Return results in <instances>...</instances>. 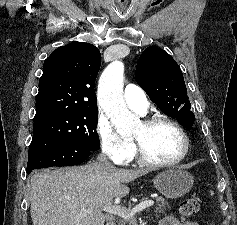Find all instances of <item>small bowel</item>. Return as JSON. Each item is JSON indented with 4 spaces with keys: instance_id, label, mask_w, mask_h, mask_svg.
<instances>
[{
    "instance_id": "1",
    "label": "small bowel",
    "mask_w": 237,
    "mask_h": 225,
    "mask_svg": "<svg viewBox=\"0 0 237 225\" xmlns=\"http://www.w3.org/2000/svg\"><path fill=\"white\" fill-rule=\"evenodd\" d=\"M160 225H199V224L193 221H184L177 219L176 217L173 216H167L161 220Z\"/></svg>"
}]
</instances>
